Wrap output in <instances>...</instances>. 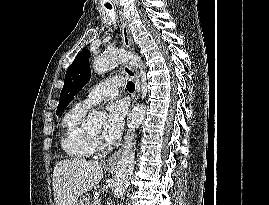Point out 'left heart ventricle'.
I'll return each mask as SVG.
<instances>
[{"instance_id": "left-heart-ventricle-1", "label": "left heart ventricle", "mask_w": 269, "mask_h": 205, "mask_svg": "<svg viewBox=\"0 0 269 205\" xmlns=\"http://www.w3.org/2000/svg\"><path fill=\"white\" fill-rule=\"evenodd\" d=\"M101 130H102L101 128H98V129L92 131L91 133H93L94 135L100 136Z\"/></svg>"}]
</instances>
